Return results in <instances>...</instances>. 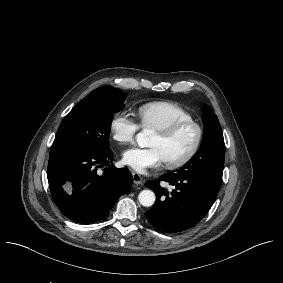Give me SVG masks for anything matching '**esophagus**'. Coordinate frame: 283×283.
Here are the masks:
<instances>
[{"mask_svg": "<svg viewBox=\"0 0 283 283\" xmlns=\"http://www.w3.org/2000/svg\"><path fill=\"white\" fill-rule=\"evenodd\" d=\"M133 183L136 185H141L143 183V178L135 172H132Z\"/></svg>", "mask_w": 283, "mask_h": 283, "instance_id": "34e87169", "label": "esophagus"}]
</instances>
